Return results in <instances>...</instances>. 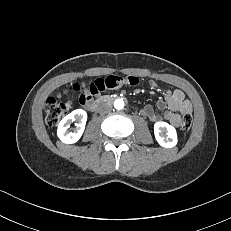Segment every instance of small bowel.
Wrapping results in <instances>:
<instances>
[{"instance_id": "1", "label": "small bowel", "mask_w": 231, "mask_h": 231, "mask_svg": "<svg viewBox=\"0 0 231 231\" xmlns=\"http://www.w3.org/2000/svg\"><path fill=\"white\" fill-rule=\"evenodd\" d=\"M139 83V79L134 76L126 78L125 76L107 75L103 77H97L85 82L81 89L77 91V98L84 107H88L93 100V97L99 92L115 91L119 88L125 87L127 84L135 86ZM152 88L157 87V82L150 81ZM157 108L159 110H165L164 114H158L154 111L153 106L146 105L142 114L146 116L151 122H158L160 120H167L173 126L178 127L181 124V118L183 115L191 114L192 105L189 100L185 98V94L180 89H167L164 93V97L157 102Z\"/></svg>"}]
</instances>
